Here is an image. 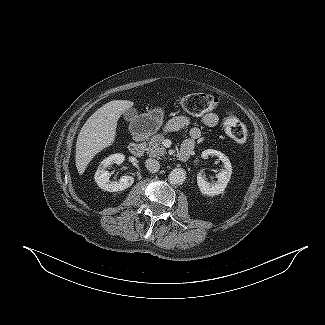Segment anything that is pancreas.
Instances as JSON below:
<instances>
[{
  "label": "pancreas",
  "instance_id": "1",
  "mask_svg": "<svg viewBox=\"0 0 325 325\" xmlns=\"http://www.w3.org/2000/svg\"><path fill=\"white\" fill-rule=\"evenodd\" d=\"M163 134H156L152 138H150L148 142V146L146 148L147 154L150 157H164L166 154V149L162 145V141L164 140Z\"/></svg>",
  "mask_w": 325,
  "mask_h": 325
}]
</instances>
